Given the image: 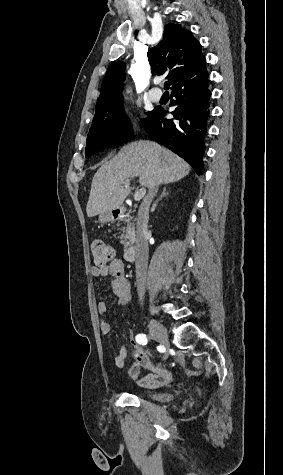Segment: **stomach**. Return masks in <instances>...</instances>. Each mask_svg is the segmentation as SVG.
Listing matches in <instances>:
<instances>
[{
    "instance_id": "obj_1",
    "label": "stomach",
    "mask_w": 283,
    "mask_h": 475,
    "mask_svg": "<svg viewBox=\"0 0 283 475\" xmlns=\"http://www.w3.org/2000/svg\"><path fill=\"white\" fill-rule=\"evenodd\" d=\"M99 224H107V222H112V214L111 212H102L99 214Z\"/></svg>"
}]
</instances>
